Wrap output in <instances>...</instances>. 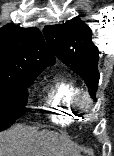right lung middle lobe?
I'll return each instance as SVG.
<instances>
[{
    "instance_id": "dd1d6c3e",
    "label": "right lung middle lobe",
    "mask_w": 114,
    "mask_h": 156,
    "mask_svg": "<svg viewBox=\"0 0 114 156\" xmlns=\"http://www.w3.org/2000/svg\"><path fill=\"white\" fill-rule=\"evenodd\" d=\"M38 75L0 74V131L26 112L27 87Z\"/></svg>"
}]
</instances>
